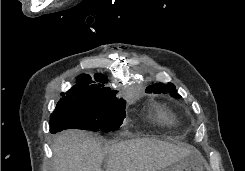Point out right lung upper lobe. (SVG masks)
I'll use <instances>...</instances> for the list:
<instances>
[{"mask_svg": "<svg viewBox=\"0 0 245 171\" xmlns=\"http://www.w3.org/2000/svg\"><path fill=\"white\" fill-rule=\"evenodd\" d=\"M95 80L100 83L107 82L106 77L102 74H96ZM91 83L95 82L91 80V77L89 75L84 74L78 76L77 85L72 87L66 93H61L63 98L60 101H92L116 98L115 94L117 93V91H114L109 87H103V84L89 85Z\"/></svg>", "mask_w": 245, "mask_h": 171, "instance_id": "cb5924a9", "label": "right lung upper lobe"}]
</instances>
